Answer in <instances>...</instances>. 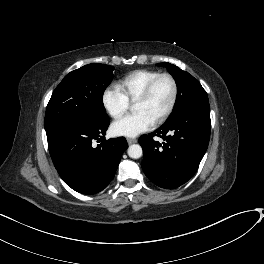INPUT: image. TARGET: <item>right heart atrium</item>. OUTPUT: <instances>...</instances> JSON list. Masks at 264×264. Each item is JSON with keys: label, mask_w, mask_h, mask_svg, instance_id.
<instances>
[{"label": "right heart atrium", "mask_w": 264, "mask_h": 264, "mask_svg": "<svg viewBox=\"0 0 264 264\" xmlns=\"http://www.w3.org/2000/svg\"><path fill=\"white\" fill-rule=\"evenodd\" d=\"M102 103L114 119L122 117L129 108V100L119 87H108L102 94Z\"/></svg>", "instance_id": "1"}]
</instances>
